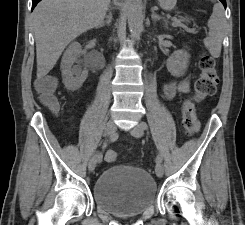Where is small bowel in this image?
Listing matches in <instances>:
<instances>
[{
  "label": "small bowel",
  "instance_id": "c3829d8e",
  "mask_svg": "<svg viewBox=\"0 0 245 225\" xmlns=\"http://www.w3.org/2000/svg\"><path fill=\"white\" fill-rule=\"evenodd\" d=\"M54 78L53 76H44L41 77L37 84L38 86L46 85L49 82H53ZM189 89V84L187 81H169L166 82L163 88V92L166 98L171 99L173 98L177 93H186ZM109 153H112L115 155V158L112 159L109 162H114L116 159V152L115 151H109Z\"/></svg>",
  "mask_w": 245,
  "mask_h": 225
}]
</instances>
